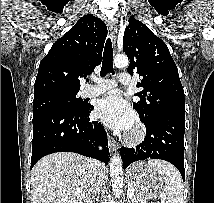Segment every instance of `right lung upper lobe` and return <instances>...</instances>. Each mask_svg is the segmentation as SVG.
Returning <instances> with one entry per match:
<instances>
[{
	"instance_id": "1",
	"label": "right lung upper lobe",
	"mask_w": 214,
	"mask_h": 203,
	"mask_svg": "<svg viewBox=\"0 0 214 203\" xmlns=\"http://www.w3.org/2000/svg\"><path fill=\"white\" fill-rule=\"evenodd\" d=\"M107 27L93 15L81 17L58 39L40 62L34 98L53 93H78L80 78L101 63Z\"/></svg>"
}]
</instances>
